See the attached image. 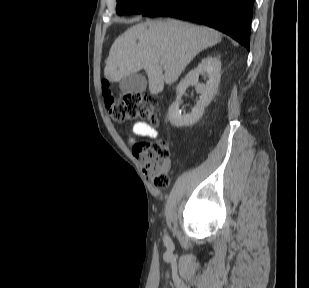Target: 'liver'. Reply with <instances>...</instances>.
Segmentation results:
<instances>
[{
  "mask_svg": "<svg viewBox=\"0 0 309 288\" xmlns=\"http://www.w3.org/2000/svg\"><path fill=\"white\" fill-rule=\"evenodd\" d=\"M221 40L214 29L174 19L138 23L112 44L105 78L118 82L144 69L150 93L158 94L164 83L172 84L179 78L198 53Z\"/></svg>",
  "mask_w": 309,
  "mask_h": 288,
  "instance_id": "liver-1",
  "label": "liver"
}]
</instances>
